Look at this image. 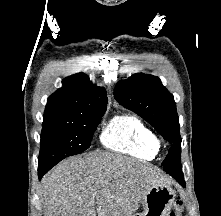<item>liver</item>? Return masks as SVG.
<instances>
[{"label": "liver", "instance_id": "obj_1", "mask_svg": "<svg viewBox=\"0 0 221 216\" xmlns=\"http://www.w3.org/2000/svg\"><path fill=\"white\" fill-rule=\"evenodd\" d=\"M166 182L152 165L95 151L60 162L43 177L39 195L44 216H133L145 193Z\"/></svg>", "mask_w": 221, "mask_h": 216}]
</instances>
